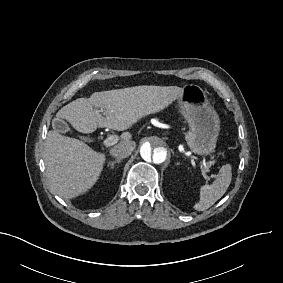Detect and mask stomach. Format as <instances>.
<instances>
[{
  "mask_svg": "<svg viewBox=\"0 0 283 283\" xmlns=\"http://www.w3.org/2000/svg\"><path fill=\"white\" fill-rule=\"evenodd\" d=\"M180 99V112L189 124L185 136L189 149L200 156L215 151L220 130L218 114L209 104L206 93L197 85H187Z\"/></svg>",
  "mask_w": 283,
  "mask_h": 283,
  "instance_id": "0dacf381",
  "label": "stomach"
}]
</instances>
